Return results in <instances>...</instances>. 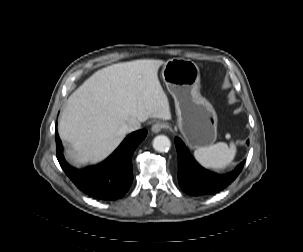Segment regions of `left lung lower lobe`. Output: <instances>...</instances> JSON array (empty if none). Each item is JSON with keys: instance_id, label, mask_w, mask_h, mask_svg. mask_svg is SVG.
<instances>
[{"instance_id": "1", "label": "left lung lower lobe", "mask_w": 303, "mask_h": 252, "mask_svg": "<svg viewBox=\"0 0 303 252\" xmlns=\"http://www.w3.org/2000/svg\"><path fill=\"white\" fill-rule=\"evenodd\" d=\"M175 145L178 154V181L184 192L190 195H206L223 190L236 179L245 163L241 162L230 173L218 175L202 168L180 138H175Z\"/></svg>"}]
</instances>
